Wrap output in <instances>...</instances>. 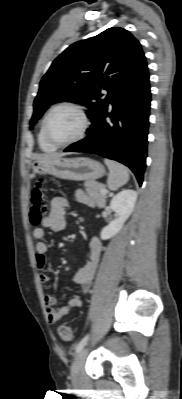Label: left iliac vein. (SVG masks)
Masks as SVG:
<instances>
[{"instance_id":"1","label":"left iliac vein","mask_w":182,"mask_h":399,"mask_svg":"<svg viewBox=\"0 0 182 399\" xmlns=\"http://www.w3.org/2000/svg\"><path fill=\"white\" fill-rule=\"evenodd\" d=\"M87 353V348H84L75 357V360L71 367V377L74 382H78L81 379V373Z\"/></svg>"}]
</instances>
